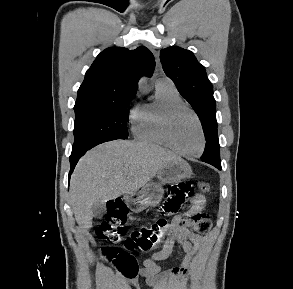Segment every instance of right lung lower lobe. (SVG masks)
I'll return each instance as SVG.
<instances>
[{
    "label": "right lung lower lobe",
    "instance_id": "right-lung-lower-lobe-1",
    "mask_svg": "<svg viewBox=\"0 0 293 289\" xmlns=\"http://www.w3.org/2000/svg\"><path fill=\"white\" fill-rule=\"evenodd\" d=\"M87 150H89V149H82V150H77V151L72 150V154L70 156L71 169H70V173H69V178H70V175H71L72 171L74 170V167L77 164L78 160Z\"/></svg>",
    "mask_w": 293,
    "mask_h": 289
}]
</instances>
